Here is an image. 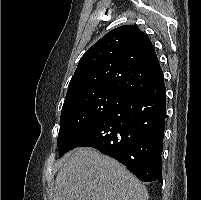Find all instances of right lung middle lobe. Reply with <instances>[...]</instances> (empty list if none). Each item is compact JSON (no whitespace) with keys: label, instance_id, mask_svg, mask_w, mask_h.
<instances>
[{"label":"right lung middle lobe","instance_id":"1","mask_svg":"<svg viewBox=\"0 0 201 200\" xmlns=\"http://www.w3.org/2000/svg\"><path fill=\"white\" fill-rule=\"evenodd\" d=\"M129 96L109 90L86 91L66 98L61 111L57 145L60 156L83 129L121 105Z\"/></svg>","mask_w":201,"mask_h":200}]
</instances>
